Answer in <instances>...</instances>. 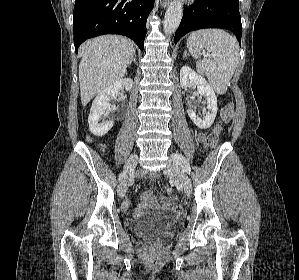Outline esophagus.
Returning a JSON list of instances; mask_svg holds the SVG:
<instances>
[{
    "instance_id": "obj_1",
    "label": "esophagus",
    "mask_w": 299,
    "mask_h": 280,
    "mask_svg": "<svg viewBox=\"0 0 299 280\" xmlns=\"http://www.w3.org/2000/svg\"><path fill=\"white\" fill-rule=\"evenodd\" d=\"M160 4L162 7H166L169 4V0H160Z\"/></svg>"
}]
</instances>
